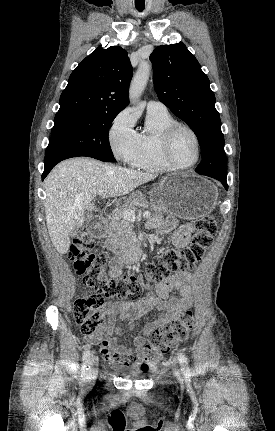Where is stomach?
I'll list each match as a JSON object with an SVG mask.
<instances>
[{"instance_id": "stomach-1", "label": "stomach", "mask_w": 275, "mask_h": 431, "mask_svg": "<svg viewBox=\"0 0 275 431\" xmlns=\"http://www.w3.org/2000/svg\"><path fill=\"white\" fill-rule=\"evenodd\" d=\"M217 198V189L208 180L194 175L173 174L158 184L153 205L180 218L196 220L213 211Z\"/></svg>"}]
</instances>
